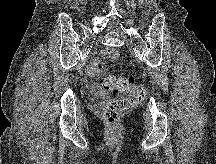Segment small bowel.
<instances>
[{
  "label": "small bowel",
  "mask_w": 216,
  "mask_h": 164,
  "mask_svg": "<svg viewBox=\"0 0 216 164\" xmlns=\"http://www.w3.org/2000/svg\"><path fill=\"white\" fill-rule=\"evenodd\" d=\"M100 73L99 69L96 67V65L94 64L91 68H90V74L92 76H97ZM91 90L92 93L96 96H103L104 92L102 90V88L97 85V84H92L91 86Z\"/></svg>",
  "instance_id": "small-bowel-1"
}]
</instances>
